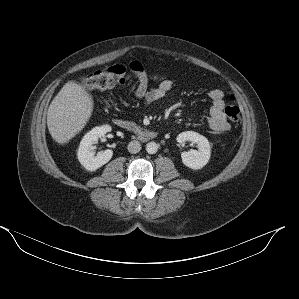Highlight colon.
Instances as JSON below:
<instances>
[{"instance_id":"1","label":"colon","mask_w":299,"mask_h":299,"mask_svg":"<svg viewBox=\"0 0 299 299\" xmlns=\"http://www.w3.org/2000/svg\"><path fill=\"white\" fill-rule=\"evenodd\" d=\"M131 75L125 66L116 65L107 69L98 70L81 79L82 87L88 91H105L114 86L123 83ZM159 77H156L158 79ZM229 103L225 108V113L231 121H238L240 117V108L234 102L235 97L232 93L228 94Z\"/></svg>"}]
</instances>
